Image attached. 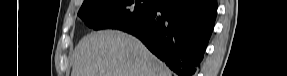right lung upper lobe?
Segmentation results:
<instances>
[{
	"label": "right lung upper lobe",
	"instance_id": "right-lung-upper-lobe-1",
	"mask_svg": "<svg viewBox=\"0 0 287 76\" xmlns=\"http://www.w3.org/2000/svg\"><path fill=\"white\" fill-rule=\"evenodd\" d=\"M87 1H89V0H84V2H87Z\"/></svg>",
	"mask_w": 287,
	"mask_h": 76
}]
</instances>
